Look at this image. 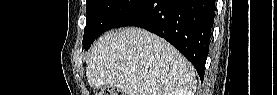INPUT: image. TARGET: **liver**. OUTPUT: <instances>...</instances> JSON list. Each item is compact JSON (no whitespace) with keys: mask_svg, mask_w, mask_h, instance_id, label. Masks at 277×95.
<instances>
[{"mask_svg":"<svg viewBox=\"0 0 277 95\" xmlns=\"http://www.w3.org/2000/svg\"><path fill=\"white\" fill-rule=\"evenodd\" d=\"M86 77L90 86L110 85L125 95H193V65L171 44L144 29L104 34L92 48Z\"/></svg>","mask_w":277,"mask_h":95,"instance_id":"6515ba94","label":"liver"}]
</instances>
